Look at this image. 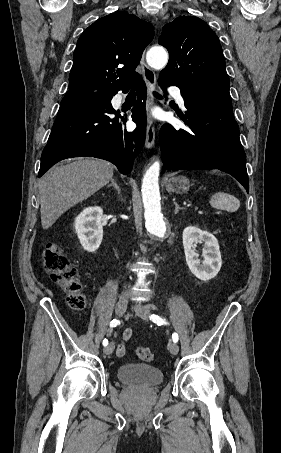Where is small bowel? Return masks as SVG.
<instances>
[{
  "instance_id": "c3829d8e",
  "label": "small bowel",
  "mask_w": 281,
  "mask_h": 453,
  "mask_svg": "<svg viewBox=\"0 0 281 453\" xmlns=\"http://www.w3.org/2000/svg\"><path fill=\"white\" fill-rule=\"evenodd\" d=\"M132 335V330L131 329H126L123 333V336H122V343H120L117 348H116V352L119 353L120 355H123L124 352H125V349H126V346L124 344V342L129 339Z\"/></svg>"
}]
</instances>
